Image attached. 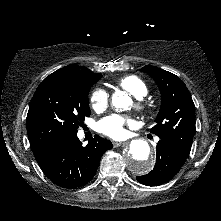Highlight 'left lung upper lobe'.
<instances>
[{"label":"left lung upper lobe","instance_id":"left-lung-upper-lobe-1","mask_svg":"<svg viewBox=\"0 0 221 221\" xmlns=\"http://www.w3.org/2000/svg\"><path fill=\"white\" fill-rule=\"evenodd\" d=\"M161 92V107L151 133L168 142L185 158L189 156L195 133V106L184 82L163 69L146 65Z\"/></svg>","mask_w":221,"mask_h":221}]
</instances>
